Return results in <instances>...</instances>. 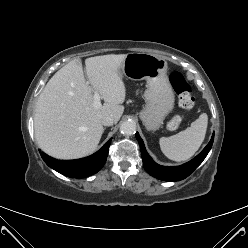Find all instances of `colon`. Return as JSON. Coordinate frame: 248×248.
<instances>
[{
  "label": "colon",
  "instance_id": "5ec220e1",
  "mask_svg": "<svg viewBox=\"0 0 248 248\" xmlns=\"http://www.w3.org/2000/svg\"><path fill=\"white\" fill-rule=\"evenodd\" d=\"M170 83L178 96L179 105L186 110H190L194 105L192 87L180 72H173L170 75ZM184 122V117L175 115L168 123V128L174 130Z\"/></svg>",
  "mask_w": 248,
  "mask_h": 248
}]
</instances>
